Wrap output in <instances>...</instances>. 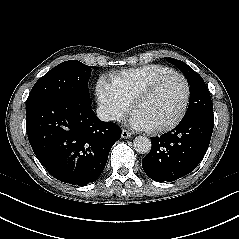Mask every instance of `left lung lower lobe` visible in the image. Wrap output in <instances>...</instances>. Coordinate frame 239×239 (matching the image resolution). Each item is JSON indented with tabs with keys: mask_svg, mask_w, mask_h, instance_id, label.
<instances>
[{
	"mask_svg": "<svg viewBox=\"0 0 239 239\" xmlns=\"http://www.w3.org/2000/svg\"><path fill=\"white\" fill-rule=\"evenodd\" d=\"M213 126V113L202 112L182 119L170 132L151 138V151L142 160L144 172L158 182L189 174L205 155Z\"/></svg>",
	"mask_w": 239,
	"mask_h": 239,
	"instance_id": "1",
	"label": "left lung lower lobe"
}]
</instances>
